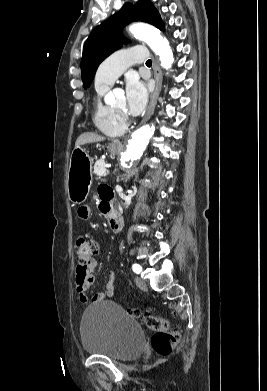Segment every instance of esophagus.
Returning a JSON list of instances; mask_svg holds the SVG:
<instances>
[{"mask_svg": "<svg viewBox=\"0 0 267 391\" xmlns=\"http://www.w3.org/2000/svg\"><path fill=\"white\" fill-rule=\"evenodd\" d=\"M153 70H154V78H155V82H156L155 89L151 94L149 107H148V110H147V113H146L144 119L142 120V123L146 122L153 114V111L155 109V105L157 102V98H158V95H159V93L161 91V87H162V80H163L162 71H161V68H160L158 62L155 59L153 60ZM116 145H119V144L116 143Z\"/></svg>", "mask_w": 267, "mask_h": 391, "instance_id": "1", "label": "esophagus"}]
</instances>
